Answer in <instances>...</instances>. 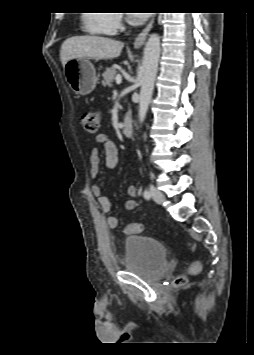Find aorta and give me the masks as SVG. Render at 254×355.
Masks as SVG:
<instances>
[{
	"instance_id": "aorta-1",
	"label": "aorta",
	"mask_w": 254,
	"mask_h": 355,
	"mask_svg": "<svg viewBox=\"0 0 254 355\" xmlns=\"http://www.w3.org/2000/svg\"><path fill=\"white\" fill-rule=\"evenodd\" d=\"M160 52L161 46L159 35H150L144 48V56L142 61V79L138 112L140 123L145 120L148 106L152 98Z\"/></svg>"
}]
</instances>
